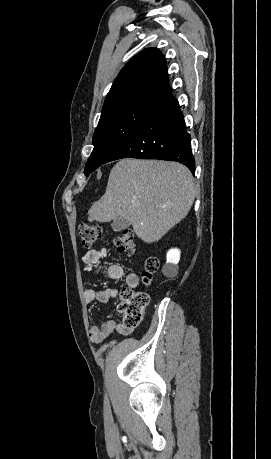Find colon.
Segmentation results:
<instances>
[{
    "mask_svg": "<svg viewBox=\"0 0 271 459\" xmlns=\"http://www.w3.org/2000/svg\"><path fill=\"white\" fill-rule=\"evenodd\" d=\"M153 3H161L163 0H149ZM78 237L84 247L94 245L102 236V228L97 225L81 224L77 228ZM115 248L119 253L132 255L135 251L134 233L130 229L120 232L114 240ZM159 267L156 257H149L145 263V270L142 273L144 284H149L153 274ZM149 295L144 290L124 288L121 291V302L119 312L123 315L124 324L128 327L138 326L149 305Z\"/></svg>",
    "mask_w": 271,
    "mask_h": 459,
    "instance_id": "5ec220e1",
    "label": "colon"
}]
</instances>
